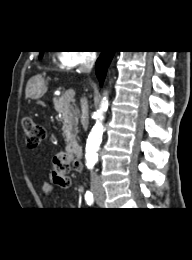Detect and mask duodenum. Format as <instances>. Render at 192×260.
<instances>
[{"label":"duodenum","instance_id":"410a0bca","mask_svg":"<svg viewBox=\"0 0 192 260\" xmlns=\"http://www.w3.org/2000/svg\"><path fill=\"white\" fill-rule=\"evenodd\" d=\"M67 152H68L69 154H71L72 156L78 158V159H81V157H82V148H81V146H80L77 142H75V141L71 142V143L68 145V147H67Z\"/></svg>","mask_w":192,"mask_h":260}]
</instances>
